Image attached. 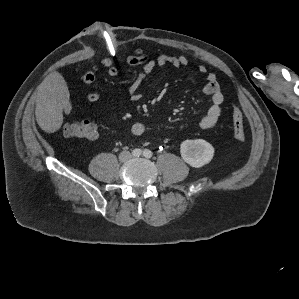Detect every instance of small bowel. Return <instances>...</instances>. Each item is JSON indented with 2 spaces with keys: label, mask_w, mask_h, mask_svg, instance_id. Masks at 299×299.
Masks as SVG:
<instances>
[{
  "label": "small bowel",
  "mask_w": 299,
  "mask_h": 299,
  "mask_svg": "<svg viewBox=\"0 0 299 299\" xmlns=\"http://www.w3.org/2000/svg\"><path fill=\"white\" fill-rule=\"evenodd\" d=\"M118 61H125L127 64L135 66L140 65L141 69L131 83L129 87V97L132 101H137L141 98L139 89L147 77L153 72L156 67H165L167 65H172L175 67H186L189 64L187 57L183 55L179 56H169V55H159L152 56L148 51L138 48L130 54L121 55ZM100 67L107 71L110 77H115L118 74V68L115 65V61L111 58H103L100 61ZM99 67L95 66L88 70L83 75V82L86 85H92L95 82L97 72ZM198 71L206 76V84L203 88L205 95L210 97L211 105L203 115L200 120V127L202 129L213 128L221 114H222V104L224 102V96L221 92L217 77L214 73L207 71L206 67L203 65L198 66ZM100 99V94L96 91L90 92L87 95V100L90 103H95ZM147 130V126L142 122H136L131 127V133L134 136H141Z\"/></svg>",
  "instance_id": "small-bowel-1"
}]
</instances>
